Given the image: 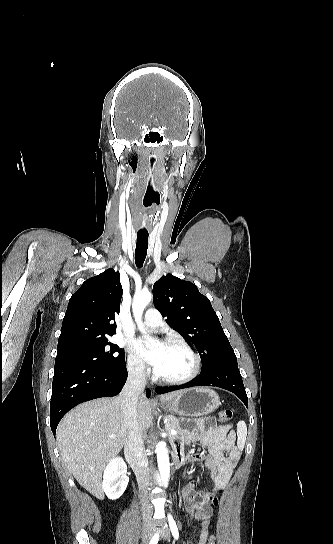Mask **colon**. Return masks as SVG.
<instances>
[{"instance_id":"colon-1","label":"colon","mask_w":333,"mask_h":544,"mask_svg":"<svg viewBox=\"0 0 333 544\" xmlns=\"http://www.w3.org/2000/svg\"><path fill=\"white\" fill-rule=\"evenodd\" d=\"M232 411L230 409H225V410H222L220 413H219V422L221 424H224V423H227L231 420L232 418ZM211 502L213 503V505L217 506L218 505V496L217 494H215L212 499H211ZM207 544H215V539L213 536H211L207 542Z\"/></svg>"}]
</instances>
